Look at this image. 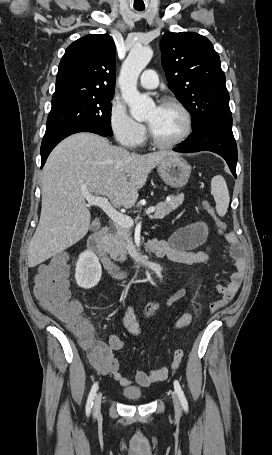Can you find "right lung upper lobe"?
I'll use <instances>...</instances> for the list:
<instances>
[{"label": "right lung upper lobe", "mask_w": 272, "mask_h": 455, "mask_svg": "<svg viewBox=\"0 0 272 455\" xmlns=\"http://www.w3.org/2000/svg\"><path fill=\"white\" fill-rule=\"evenodd\" d=\"M115 49L108 34L87 35L69 45L59 64L52 100L114 95Z\"/></svg>", "instance_id": "cb5924a9"}]
</instances>
